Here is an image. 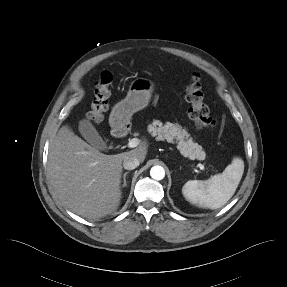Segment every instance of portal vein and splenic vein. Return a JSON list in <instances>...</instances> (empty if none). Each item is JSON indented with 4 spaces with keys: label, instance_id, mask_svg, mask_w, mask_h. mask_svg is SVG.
Segmentation results:
<instances>
[{
    "label": "portal vein and splenic vein",
    "instance_id": "18ae733b",
    "mask_svg": "<svg viewBox=\"0 0 287 287\" xmlns=\"http://www.w3.org/2000/svg\"><path fill=\"white\" fill-rule=\"evenodd\" d=\"M140 144V140L138 138H133L131 140H129L128 142V147L129 148H135L137 147L138 145ZM198 167L200 170L204 171L205 170V167L203 164L199 163L198 164Z\"/></svg>",
    "mask_w": 287,
    "mask_h": 287
}]
</instances>
